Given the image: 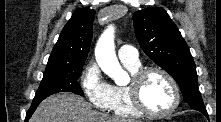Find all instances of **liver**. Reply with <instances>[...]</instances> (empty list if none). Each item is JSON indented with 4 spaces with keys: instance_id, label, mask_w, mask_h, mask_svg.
Segmentation results:
<instances>
[{
    "instance_id": "1",
    "label": "liver",
    "mask_w": 221,
    "mask_h": 122,
    "mask_svg": "<svg viewBox=\"0 0 221 122\" xmlns=\"http://www.w3.org/2000/svg\"><path fill=\"white\" fill-rule=\"evenodd\" d=\"M30 122H137L134 119L109 117L93 110L81 96L58 93L43 100Z\"/></svg>"
}]
</instances>
